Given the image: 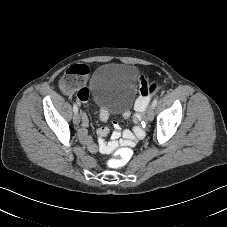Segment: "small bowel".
Returning <instances> with one entry per match:
<instances>
[{
	"instance_id": "small-bowel-1",
	"label": "small bowel",
	"mask_w": 227,
	"mask_h": 227,
	"mask_svg": "<svg viewBox=\"0 0 227 227\" xmlns=\"http://www.w3.org/2000/svg\"><path fill=\"white\" fill-rule=\"evenodd\" d=\"M75 72L81 76V78L84 80L88 74L89 69L85 65H78L75 67ZM88 98V92L86 94V99L82 97H78V99L84 103L86 102ZM98 115L100 120L106 121L109 117V112L105 108H100L98 110ZM89 124V116L88 113L85 111L82 113V123L79 129V138L80 140L86 145L87 149L90 152H105L109 153L116 149L118 146H127V145H133V136L129 132L124 133L125 139H119L121 135L120 127L117 124L113 125V130L110 131L108 127H102L98 131V139L97 141H94L87 133V126ZM110 135L112 142L116 141V144L113 145L111 143H107L105 141V138ZM131 139V144H128V140Z\"/></svg>"
}]
</instances>
